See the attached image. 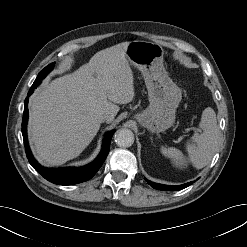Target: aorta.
I'll return each instance as SVG.
<instances>
[{"label": "aorta", "instance_id": "762f6f07", "mask_svg": "<svg viewBox=\"0 0 247 247\" xmlns=\"http://www.w3.org/2000/svg\"><path fill=\"white\" fill-rule=\"evenodd\" d=\"M116 144L119 147H130L134 143V134L130 129L122 128L114 135Z\"/></svg>", "mask_w": 247, "mask_h": 247}]
</instances>
